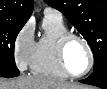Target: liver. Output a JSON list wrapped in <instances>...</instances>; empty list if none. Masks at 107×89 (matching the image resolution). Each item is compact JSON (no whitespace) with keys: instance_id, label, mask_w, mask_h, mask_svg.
<instances>
[{"instance_id":"liver-1","label":"liver","mask_w":107,"mask_h":89,"mask_svg":"<svg viewBox=\"0 0 107 89\" xmlns=\"http://www.w3.org/2000/svg\"><path fill=\"white\" fill-rule=\"evenodd\" d=\"M87 88L70 83H66L52 77L35 75L21 76L17 79L0 81V89H77Z\"/></svg>"}]
</instances>
